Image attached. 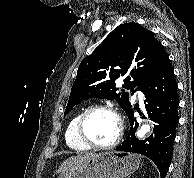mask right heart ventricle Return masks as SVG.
<instances>
[{
  "instance_id": "e07e8e85",
  "label": "right heart ventricle",
  "mask_w": 194,
  "mask_h": 178,
  "mask_svg": "<svg viewBox=\"0 0 194 178\" xmlns=\"http://www.w3.org/2000/svg\"><path fill=\"white\" fill-rule=\"evenodd\" d=\"M81 113L82 112H79L71 118L65 131L66 144L70 149L75 151H85L89 149V147L83 144L76 135V125Z\"/></svg>"
}]
</instances>
